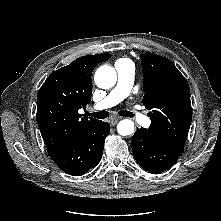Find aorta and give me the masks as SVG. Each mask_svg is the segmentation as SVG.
I'll return each mask as SVG.
<instances>
[{
    "instance_id": "1",
    "label": "aorta",
    "mask_w": 221,
    "mask_h": 221,
    "mask_svg": "<svg viewBox=\"0 0 221 221\" xmlns=\"http://www.w3.org/2000/svg\"><path fill=\"white\" fill-rule=\"evenodd\" d=\"M94 80L98 87L103 89H109L116 84L117 74L113 67L109 65H103L96 70ZM117 131L122 136L133 134V121L129 119L121 120L117 125Z\"/></svg>"
}]
</instances>
